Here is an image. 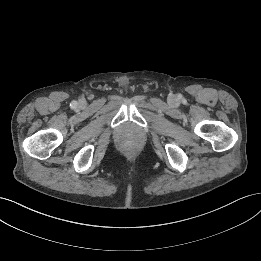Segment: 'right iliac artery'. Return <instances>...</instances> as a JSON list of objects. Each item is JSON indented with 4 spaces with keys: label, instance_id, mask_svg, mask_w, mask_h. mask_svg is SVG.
Returning a JSON list of instances; mask_svg holds the SVG:
<instances>
[{
    "label": "right iliac artery",
    "instance_id": "82829eb1",
    "mask_svg": "<svg viewBox=\"0 0 261 261\" xmlns=\"http://www.w3.org/2000/svg\"><path fill=\"white\" fill-rule=\"evenodd\" d=\"M75 105H76V102H73V103H72V107H74Z\"/></svg>",
    "mask_w": 261,
    "mask_h": 261
}]
</instances>
